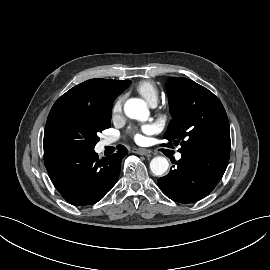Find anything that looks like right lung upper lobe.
<instances>
[{"label": "right lung upper lobe", "mask_w": 270, "mask_h": 270, "mask_svg": "<svg viewBox=\"0 0 270 270\" xmlns=\"http://www.w3.org/2000/svg\"><path fill=\"white\" fill-rule=\"evenodd\" d=\"M131 81L91 79L78 84L63 94L53 105L49 116L64 109H91L111 111L114 99L125 90Z\"/></svg>", "instance_id": "right-lung-upper-lobe-1"}]
</instances>
